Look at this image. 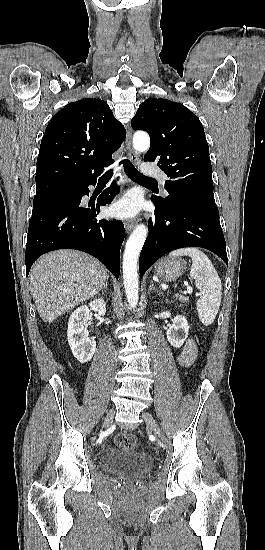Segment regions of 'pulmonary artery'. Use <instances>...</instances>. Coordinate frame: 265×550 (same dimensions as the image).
<instances>
[{"mask_svg": "<svg viewBox=\"0 0 265 550\" xmlns=\"http://www.w3.org/2000/svg\"><path fill=\"white\" fill-rule=\"evenodd\" d=\"M151 176L158 178L162 183H165L166 176L165 174L159 170V169H152L148 172Z\"/></svg>", "mask_w": 265, "mask_h": 550, "instance_id": "obj_1", "label": "pulmonary artery"}]
</instances>
